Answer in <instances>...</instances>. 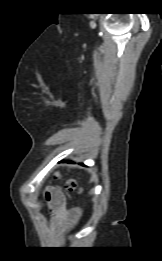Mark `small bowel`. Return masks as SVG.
<instances>
[{"instance_id": "small-bowel-1", "label": "small bowel", "mask_w": 162, "mask_h": 261, "mask_svg": "<svg viewBox=\"0 0 162 261\" xmlns=\"http://www.w3.org/2000/svg\"><path fill=\"white\" fill-rule=\"evenodd\" d=\"M47 199L50 204V213L53 216L55 223L58 226H62L66 221V211H65V198L62 193L56 189H51L47 192ZM78 215L75 212L72 215V220H74Z\"/></svg>"}]
</instances>
